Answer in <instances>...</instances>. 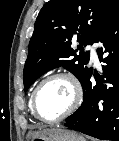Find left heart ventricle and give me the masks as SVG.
<instances>
[{"label": "left heart ventricle", "mask_w": 119, "mask_h": 141, "mask_svg": "<svg viewBox=\"0 0 119 141\" xmlns=\"http://www.w3.org/2000/svg\"><path fill=\"white\" fill-rule=\"evenodd\" d=\"M73 93L65 79H54L39 91L36 101L37 111L44 119H53L65 112L70 106Z\"/></svg>", "instance_id": "obj_1"}]
</instances>
